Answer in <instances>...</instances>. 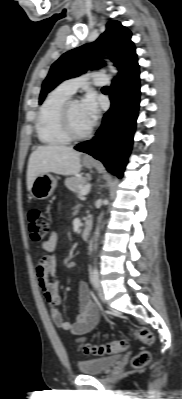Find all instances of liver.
Masks as SVG:
<instances>
[{
    "label": "liver",
    "instance_id": "6515ba94",
    "mask_svg": "<svg viewBox=\"0 0 182 399\" xmlns=\"http://www.w3.org/2000/svg\"><path fill=\"white\" fill-rule=\"evenodd\" d=\"M80 156L81 153L71 147L59 145L37 147L28 161V191L31 190L35 178L44 173L77 175L81 170Z\"/></svg>",
    "mask_w": 182,
    "mask_h": 399
}]
</instances>
